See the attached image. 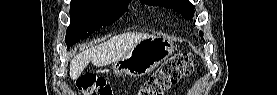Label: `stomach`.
Listing matches in <instances>:
<instances>
[{
  "mask_svg": "<svg viewBox=\"0 0 277 95\" xmlns=\"http://www.w3.org/2000/svg\"><path fill=\"white\" fill-rule=\"evenodd\" d=\"M173 43L151 36L138 42L122 58L113 63L117 76H143L152 72L173 52Z\"/></svg>",
  "mask_w": 277,
  "mask_h": 95,
  "instance_id": "0dacf381",
  "label": "stomach"
}]
</instances>
